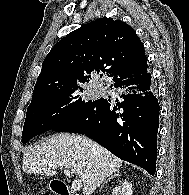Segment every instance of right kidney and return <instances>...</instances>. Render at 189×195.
I'll use <instances>...</instances> for the list:
<instances>
[{"label":"right kidney","mask_w":189,"mask_h":195,"mask_svg":"<svg viewBox=\"0 0 189 195\" xmlns=\"http://www.w3.org/2000/svg\"><path fill=\"white\" fill-rule=\"evenodd\" d=\"M132 184L124 181L119 186L115 187L112 191V195H132Z\"/></svg>","instance_id":"ca27d5eb"}]
</instances>
